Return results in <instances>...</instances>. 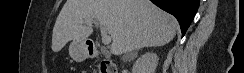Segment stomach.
Segmentation results:
<instances>
[{"instance_id":"obj_1","label":"stomach","mask_w":244,"mask_h":73,"mask_svg":"<svg viewBox=\"0 0 244 73\" xmlns=\"http://www.w3.org/2000/svg\"><path fill=\"white\" fill-rule=\"evenodd\" d=\"M69 54L77 62L84 61L88 57V48L85 41H72L69 46Z\"/></svg>"}]
</instances>
